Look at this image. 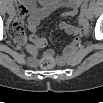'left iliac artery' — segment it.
<instances>
[{"label": "left iliac artery", "instance_id": "44dca946", "mask_svg": "<svg viewBox=\"0 0 103 103\" xmlns=\"http://www.w3.org/2000/svg\"><path fill=\"white\" fill-rule=\"evenodd\" d=\"M95 7V2L91 1L89 4V10H92Z\"/></svg>", "mask_w": 103, "mask_h": 103}]
</instances>
